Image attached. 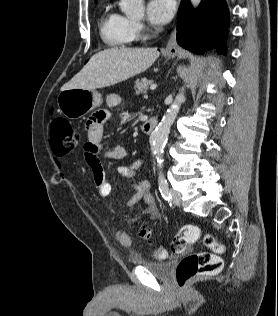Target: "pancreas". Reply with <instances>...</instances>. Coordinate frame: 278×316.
<instances>
[{"label": "pancreas", "instance_id": "pancreas-1", "mask_svg": "<svg viewBox=\"0 0 278 316\" xmlns=\"http://www.w3.org/2000/svg\"><path fill=\"white\" fill-rule=\"evenodd\" d=\"M153 83L152 80H148L147 78H141L135 81V94L139 95L140 93H146L149 85Z\"/></svg>", "mask_w": 278, "mask_h": 316}]
</instances>
